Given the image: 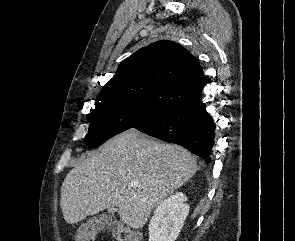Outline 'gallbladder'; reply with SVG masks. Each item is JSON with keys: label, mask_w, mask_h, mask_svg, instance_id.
Returning <instances> with one entry per match:
<instances>
[{"label": "gallbladder", "mask_w": 295, "mask_h": 241, "mask_svg": "<svg viewBox=\"0 0 295 241\" xmlns=\"http://www.w3.org/2000/svg\"><path fill=\"white\" fill-rule=\"evenodd\" d=\"M115 211H116L115 208H110V209H109V213H114Z\"/></svg>", "instance_id": "gallbladder-1"}]
</instances>
